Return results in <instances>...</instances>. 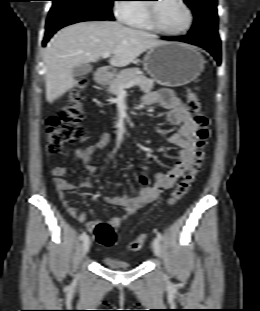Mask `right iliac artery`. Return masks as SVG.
Here are the masks:
<instances>
[{
  "instance_id": "82829eb1",
  "label": "right iliac artery",
  "mask_w": 260,
  "mask_h": 311,
  "mask_svg": "<svg viewBox=\"0 0 260 311\" xmlns=\"http://www.w3.org/2000/svg\"><path fill=\"white\" fill-rule=\"evenodd\" d=\"M87 237V233L86 232H83L80 236V239L81 240H84L85 238Z\"/></svg>"
}]
</instances>
